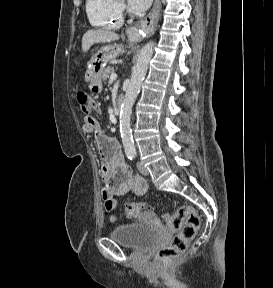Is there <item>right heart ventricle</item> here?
Returning a JSON list of instances; mask_svg holds the SVG:
<instances>
[{
  "instance_id": "right-heart-ventricle-1",
  "label": "right heart ventricle",
  "mask_w": 273,
  "mask_h": 288,
  "mask_svg": "<svg viewBox=\"0 0 273 288\" xmlns=\"http://www.w3.org/2000/svg\"><path fill=\"white\" fill-rule=\"evenodd\" d=\"M86 12L90 23L98 28L118 29L123 23L118 0H87Z\"/></svg>"
}]
</instances>
